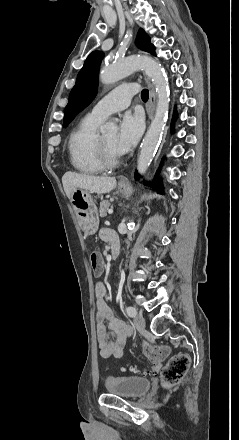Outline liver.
<instances>
[{
    "label": "liver",
    "instance_id": "obj_1",
    "mask_svg": "<svg viewBox=\"0 0 239 440\" xmlns=\"http://www.w3.org/2000/svg\"><path fill=\"white\" fill-rule=\"evenodd\" d=\"M64 192L71 200L75 190H89L95 194H108L117 186L115 178L107 176H88V174H75V172H66L62 178Z\"/></svg>",
    "mask_w": 239,
    "mask_h": 440
}]
</instances>
